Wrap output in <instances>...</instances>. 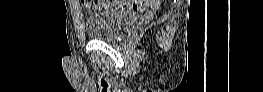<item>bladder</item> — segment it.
Returning <instances> with one entry per match:
<instances>
[{"instance_id":"bladder-1","label":"bladder","mask_w":263,"mask_h":92,"mask_svg":"<svg viewBox=\"0 0 263 92\" xmlns=\"http://www.w3.org/2000/svg\"><path fill=\"white\" fill-rule=\"evenodd\" d=\"M136 17L133 10L109 5L88 16L84 27L93 39L115 41L133 27Z\"/></svg>"}]
</instances>
